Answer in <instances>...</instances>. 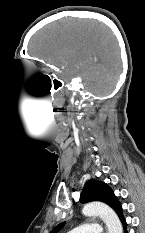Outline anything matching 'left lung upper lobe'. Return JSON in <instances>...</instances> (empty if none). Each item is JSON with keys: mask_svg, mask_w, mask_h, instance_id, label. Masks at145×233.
Masks as SVG:
<instances>
[{"mask_svg": "<svg viewBox=\"0 0 145 233\" xmlns=\"http://www.w3.org/2000/svg\"><path fill=\"white\" fill-rule=\"evenodd\" d=\"M80 201L82 203H86L89 201L104 202L116 211L121 221L125 220L122 214L123 210L121 204L119 203L113 191L106 183L99 182L97 180L88 181L83 188V191L80 196ZM64 224L65 222L57 225L51 231V233H57L64 226Z\"/></svg>", "mask_w": 145, "mask_h": 233, "instance_id": "5c2ea615", "label": "left lung upper lobe"}]
</instances>
